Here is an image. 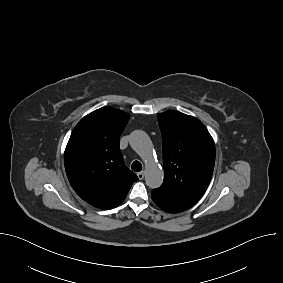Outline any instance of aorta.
Returning a JSON list of instances; mask_svg holds the SVG:
<instances>
[{
  "instance_id": "1",
  "label": "aorta",
  "mask_w": 283,
  "mask_h": 283,
  "mask_svg": "<svg viewBox=\"0 0 283 283\" xmlns=\"http://www.w3.org/2000/svg\"><path fill=\"white\" fill-rule=\"evenodd\" d=\"M131 147L142 157L146 165V185L155 189L163 183V170L153 159V146L149 136L141 130H136L130 136Z\"/></svg>"
}]
</instances>
